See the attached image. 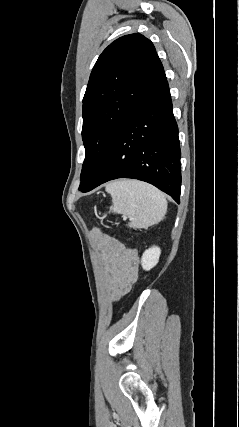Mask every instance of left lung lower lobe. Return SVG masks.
<instances>
[{
  "mask_svg": "<svg viewBox=\"0 0 239 427\" xmlns=\"http://www.w3.org/2000/svg\"><path fill=\"white\" fill-rule=\"evenodd\" d=\"M178 127L167 80L122 126L88 192L117 178L148 182L180 202L181 168Z\"/></svg>",
  "mask_w": 239,
  "mask_h": 427,
  "instance_id": "obj_1",
  "label": "left lung lower lobe"
}]
</instances>
